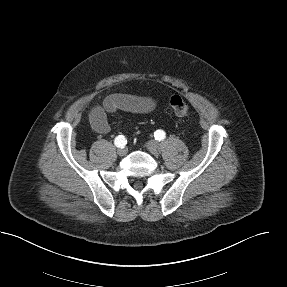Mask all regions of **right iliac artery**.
Returning <instances> with one entry per match:
<instances>
[{
  "label": "right iliac artery",
  "mask_w": 287,
  "mask_h": 287,
  "mask_svg": "<svg viewBox=\"0 0 287 287\" xmlns=\"http://www.w3.org/2000/svg\"><path fill=\"white\" fill-rule=\"evenodd\" d=\"M114 143L117 147L124 148L127 143V140L123 135H119L115 138Z\"/></svg>",
  "instance_id": "82829eb1"
}]
</instances>
